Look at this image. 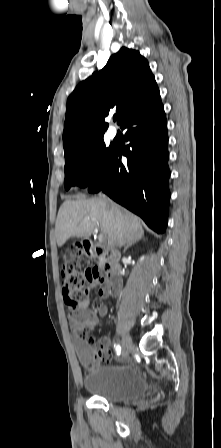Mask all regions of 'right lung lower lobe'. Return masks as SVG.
Returning <instances> with one entry per match:
<instances>
[{
	"label": "right lung lower lobe",
	"mask_w": 221,
	"mask_h": 448,
	"mask_svg": "<svg viewBox=\"0 0 221 448\" xmlns=\"http://www.w3.org/2000/svg\"><path fill=\"white\" fill-rule=\"evenodd\" d=\"M126 129L125 148L115 146L99 178L88 191H103L117 203L139 215L146 224L163 233L167 224L170 192L168 179L167 121L160 93L128 114L121 123ZM127 157V164L121 156Z\"/></svg>",
	"instance_id": "98d812e1"
}]
</instances>
